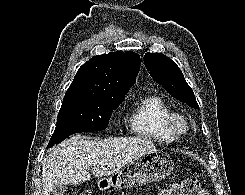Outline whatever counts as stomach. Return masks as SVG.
<instances>
[{
    "label": "stomach",
    "instance_id": "obj_1",
    "mask_svg": "<svg viewBox=\"0 0 245 195\" xmlns=\"http://www.w3.org/2000/svg\"><path fill=\"white\" fill-rule=\"evenodd\" d=\"M174 168L171 157L163 152L148 153L126 164L109 178L98 182V187L116 190L127 189L136 185L156 182L169 176Z\"/></svg>",
    "mask_w": 245,
    "mask_h": 195
}]
</instances>
